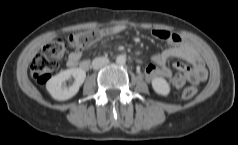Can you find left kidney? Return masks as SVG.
I'll list each match as a JSON object with an SVG mask.
<instances>
[{"label": "left kidney", "mask_w": 238, "mask_h": 145, "mask_svg": "<svg viewBox=\"0 0 238 145\" xmlns=\"http://www.w3.org/2000/svg\"><path fill=\"white\" fill-rule=\"evenodd\" d=\"M152 87L154 91L160 95H168L170 92V86L168 82L161 77L154 78L152 80Z\"/></svg>", "instance_id": "obj_1"}]
</instances>
